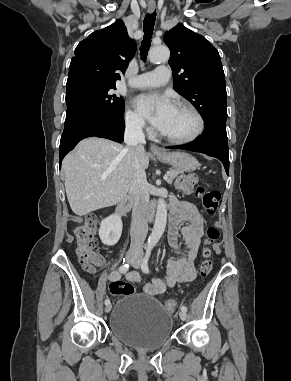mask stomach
<instances>
[{
  "instance_id": "obj_1",
  "label": "stomach",
  "mask_w": 291,
  "mask_h": 381,
  "mask_svg": "<svg viewBox=\"0 0 291 381\" xmlns=\"http://www.w3.org/2000/svg\"><path fill=\"white\" fill-rule=\"evenodd\" d=\"M156 157L179 171L192 172L199 167L197 159L186 152H164Z\"/></svg>"
}]
</instances>
